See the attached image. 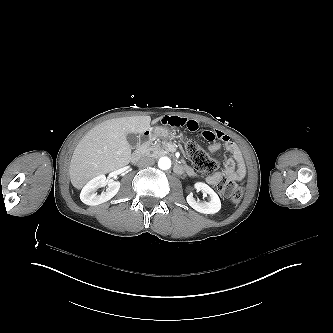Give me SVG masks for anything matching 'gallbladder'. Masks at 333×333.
Wrapping results in <instances>:
<instances>
[{
	"label": "gallbladder",
	"mask_w": 333,
	"mask_h": 333,
	"mask_svg": "<svg viewBox=\"0 0 333 333\" xmlns=\"http://www.w3.org/2000/svg\"><path fill=\"white\" fill-rule=\"evenodd\" d=\"M126 138H127L129 145L131 146V148L135 149L137 147L139 137L136 134L132 133V134H128ZM141 140H143V139L141 138Z\"/></svg>",
	"instance_id": "bac80fb5"
}]
</instances>
